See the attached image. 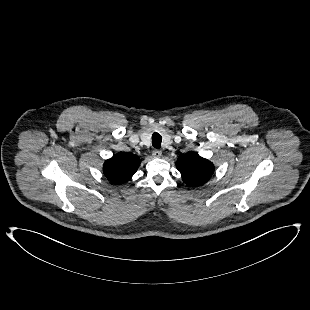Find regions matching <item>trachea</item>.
Listing matches in <instances>:
<instances>
[{
    "instance_id": "trachea-1",
    "label": "trachea",
    "mask_w": 310,
    "mask_h": 310,
    "mask_svg": "<svg viewBox=\"0 0 310 310\" xmlns=\"http://www.w3.org/2000/svg\"><path fill=\"white\" fill-rule=\"evenodd\" d=\"M162 137L159 133H154L152 135V145L153 147L159 149L161 147Z\"/></svg>"
}]
</instances>
